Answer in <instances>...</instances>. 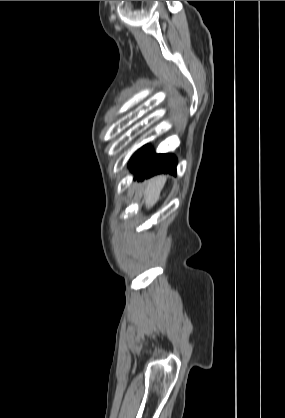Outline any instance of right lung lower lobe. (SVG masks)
Here are the masks:
<instances>
[{
	"label": "right lung lower lobe",
	"mask_w": 285,
	"mask_h": 418,
	"mask_svg": "<svg viewBox=\"0 0 285 418\" xmlns=\"http://www.w3.org/2000/svg\"><path fill=\"white\" fill-rule=\"evenodd\" d=\"M177 159L172 154H156L150 146L140 148L130 159L129 167L138 180L160 173L176 174Z\"/></svg>",
	"instance_id": "1"
}]
</instances>
